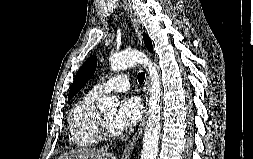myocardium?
<instances>
[{
    "label": "myocardium",
    "mask_w": 253,
    "mask_h": 159,
    "mask_svg": "<svg viewBox=\"0 0 253 159\" xmlns=\"http://www.w3.org/2000/svg\"><path fill=\"white\" fill-rule=\"evenodd\" d=\"M99 131L102 140H112L117 136V133L109 126L102 114L99 118Z\"/></svg>",
    "instance_id": "obj_1"
}]
</instances>
